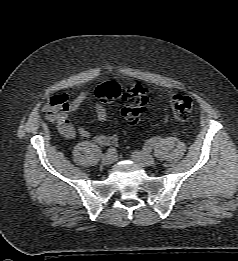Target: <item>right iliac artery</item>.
<instances>
[{
    "label": "right iliac artery",
    "instance_id": "82829eb1",
    "mask_svg": "<svg viewBox=\"0 0 238 261\" xmlns=\"http://www.w3.org/2000/svg\"><path fill=\"white\" fill-rule=\"evenodd\" d=\"M108 152L111 153V154H115L116 153V149L111 147L108 149Z\"/></svg>",
    "mask_w": 238,
    "mask_h": 261
}]
</instances>
